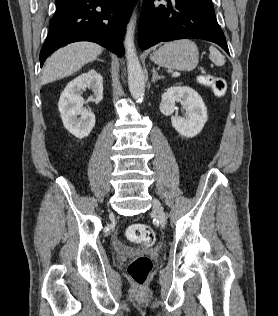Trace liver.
<instances>
[{
  "label": "liver",
  "mask_w": 278,
  "mask_h": 316,
  "mask_svg": "<svg viewBox=\"0 0 278 316\" xmlns=\"http://www.w3.org/2000/svg\"><path fill=\"white\" fill-rule=\"evenodd\" d=\"M102 51L101 46L87 41L72 43L59 49L47 60L41 83L47 84L74 74L85 64L97 59Z\"/></svg>",
  "instance_id": "1"
}]
</instances>
